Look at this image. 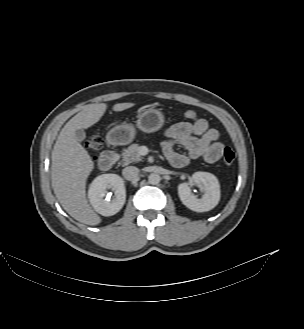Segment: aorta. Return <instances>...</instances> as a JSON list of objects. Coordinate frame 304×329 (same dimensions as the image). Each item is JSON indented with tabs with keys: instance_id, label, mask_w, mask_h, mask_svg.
I'll return each mask as SVG.
<instances>
[{
	"instance_id": "aorta-1",
	"label": "aorta",
	"mask_w": 304,
	"mask_h": 329,
	"mask_svg": "<svg viewBox=\"0 0 304 329\" xmlns=\"http://www.w3.org/2000/svg\"><path fill=\"white\" fill-rule=\"evenodd\" d=\"M160 176L156 173H151L149 176H148V182L152 185H156L160 182Z\"/></svg>"
}]
</instances>
